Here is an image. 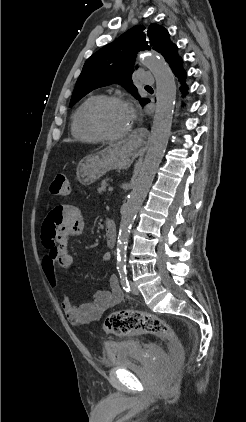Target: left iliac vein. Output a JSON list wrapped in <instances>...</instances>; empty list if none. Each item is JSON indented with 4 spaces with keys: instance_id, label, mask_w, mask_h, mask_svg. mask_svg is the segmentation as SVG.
Wrapping results in <instances>:
<instances>
[{
    "instance_id": "obj_1",
    "label": "left iliac vein",
    "mask_w": 246,
    "mask_h": 422,
    "mask_svg": "<svg viewBox=\"0 0 246 422\" xmlns=\"http://www.w3.org/2000/svg\"><path fill=\"white\" fill-rule=\"evenodd\" d=\"M130 289L133 294L135 295L139 294V289L137 288L136 284L132 281L130 282Z\"/></svg>"
}]
</instances>
